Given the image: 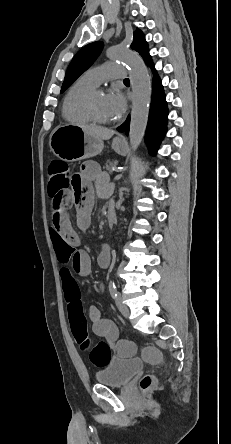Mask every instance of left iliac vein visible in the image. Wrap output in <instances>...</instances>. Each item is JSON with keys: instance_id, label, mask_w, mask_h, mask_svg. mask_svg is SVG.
<instances>
[{"instance_id": "obj_1", "label": "left iliac vein", "mask_w": 231, "mask_h": 444, "mask_svg": "<svg viewBox=\"0 0 231 444\" xmlns=\"http://www.w3.org/2000/svg\"><path fill=\"white\" fill-rule=\"evenodd\" d=\"M115 303H116V306H117L118 310L120 311V313L125 318H128L130 311H129V308L123 303L120 293H117Z\"/></svg>"}]
</instances>
